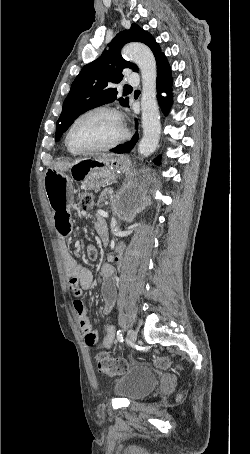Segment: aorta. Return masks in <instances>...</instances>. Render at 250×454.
<instances>
[{
  "instance_id": "1",
  "label": "aorta",
  "mask_w": 250,
  "mask_h": 454,
  "mask_svg": "<svg viewBox=\"0 0 250 454\" xmlns=\"http://www.w3.org/2000/svg\"><path fill=\"white\" fill-rule=\"evenodd\" d=\"M122 54L136 63L141 73L143 137L138 145V152L141 156L148 157L156 150L161 133L156 90V61L152 51L146 45L137 42L127 44Z\"/></svg>"
}]
</instances>
